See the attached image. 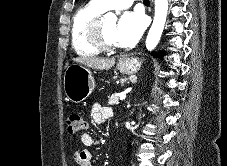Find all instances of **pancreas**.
Here are the masks:
<instances>
[{
    "label": "pancreas",
    "instance_id": "obj_1",
    "mask_svg": "<svg viewBox=\"0 0 227 166\" xmlns=\"http://www.w3.org/2000/svg\"><path fill=\"white\" fill-rule=\"evenodd\" d=\"M119 103V96L118 95H113L108 98V105H116Z\"/></svg>",
    "mask_w": 227,
    "mask_h": 166
}]
</instances>
